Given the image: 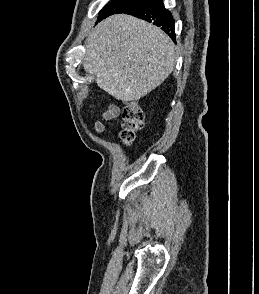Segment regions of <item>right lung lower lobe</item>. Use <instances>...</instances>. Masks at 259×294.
I'll return each instance as SVG.
<instances>
[{
	"label": "right lung lower lobe",
	"mask_w": 259,
	"mask_h": 294,
	"mask_svg": "<svg viewBox=\"0 0 259 294\" xmlns=\"http://www.w3.org/2000/svg\"><path fill=\"white\" fill-rule=\"evenodd\" d=\"M122 13L152 22L154 25L161 27L175 41V21L171 13L165 9L163 0H141Z\"/></svg>",
	"instance_id": "1"
}]
</instances>
